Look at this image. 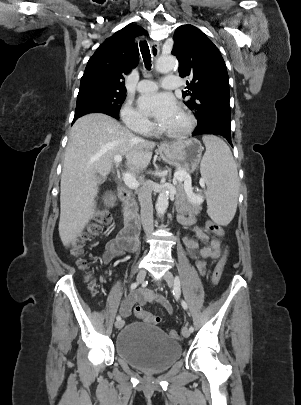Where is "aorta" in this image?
I'll return each instance as SVG.
<instances>
[{
    "instance_id": "aorta-1",
    "label": "aorta",
    "mask_w": 301,
    "mask_h": 405,
    "mask_svg": "<svg viewBox=\"0 0 301 405\" xmlns=\"http://www.w3.org/2000/svg\"><path fill=\"white\" fill-rule=\"evenodd\" d=\"M178 66L176 59L173 56L161 57L156 62V70L161 73H169L175 70ZM169 205V193L163 190L157 199L155 208L159 215H163Z\"/></svg>"
}]
</instances>
